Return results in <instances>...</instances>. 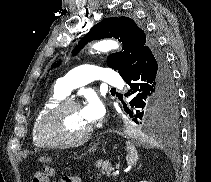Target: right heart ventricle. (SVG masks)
<instances>
[{"instance_id":"right-heart-ventricle-1","label":"right heart ventricle","mask_w":211,"mask_h":182,"mask_svg":"<svg viewBox=\"0 0 211 182\" xmlns=\"http://www.w3.org/2000/svg\"><path fill=\"white\" fill-rule=\"evenodd\" d=\"M65 96L61 94L58 90H54L53 93H51L48 98L45 100L39 111L37 112L36 116L34 117V120L32 122L31 127V138L32 142L35 146H41L40 142L37 139V126L41 120V118L44 116V114L49 111L52 107H54L57 103L64 100Z\"/></svg>"}]
</instances>
